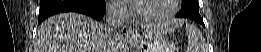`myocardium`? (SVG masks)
Returning a JSON list of instances; mask_svg holds the SVG:
<instances>
[{
	"label": "myocardium",
	"instance_id": "myocardium-1",
	"mask_svg": "<svg viewBox=\"0 0 261 52\" xmlns=\"http://www.w3.org/2000/svg\"><path fill=\"white\" fill-rule=\"evenodd\" d=\"M170 7L167 12L164 14L158 15V16H144L141 15L138 12L137 9V2L138 1H131L130 6H131V11L133 13V16L137 21L140 22H145V23H150V24H161L164 23L168 20H170L177 12L179 0H170Z\"/></svg>",
	"mask_w": 261,
	"mask_h": 52
}]
</instances>
